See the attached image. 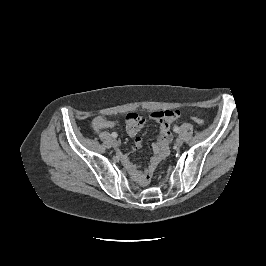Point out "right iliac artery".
<instances>
[{"instance_id": "right-iliac-artery-1", "label": "right iliac artery", "mask_w": 266, "mask_h": 266, "mask_svg": "<svg viewBox=\"0 0 266 266\" xmlns=\"http://www.w3.org/2000/svg\"><path fill=\"white\" fill-rule=\"evenodd\" d=\"M111 136H112L113 138H116V137L118 136V134H117L116 132H112Z\"/></svg>"}]
</instances>
